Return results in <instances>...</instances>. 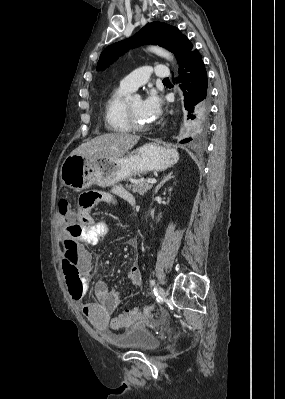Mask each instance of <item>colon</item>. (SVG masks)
I'll return each instance as SVG.
<instances>
[{
	"instance_id": "colon-1",
	"label": "colon",
	"mask_w": 285,
	"mask_h": 399,
	"mask_svg": "<svg viewBox=\"0 0 285 399\" xmlns=\"http://www.w3.org/2000/svg\"><path fill=\"white\" fill-rule=\"evenodd\" d=\"M97 202V194L90 192L81 198L80 205L84 208H90ZM71 205L72 202L69 198H62L59 202L61 214L65 215L71 209ZM62 266L69 292L74 298H80L82 293L81 272L75 250L69 251L67 256L62 259ZM150 311L149 307L138 306L126 309L112 319L111 326L114 329L127 327L137 322L140 318L148 316Z\"/></svg>"
}]
</instances>
